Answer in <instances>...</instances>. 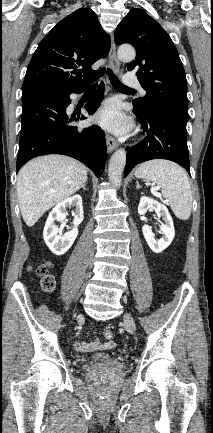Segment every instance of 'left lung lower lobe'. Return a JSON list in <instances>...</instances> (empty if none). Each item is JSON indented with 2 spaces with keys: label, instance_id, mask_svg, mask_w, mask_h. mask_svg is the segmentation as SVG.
I'll return each mask as SVG.
<instances>
[{
  "label": "left lung lower lobe",
  "instance_id": "0a47b994",
  "mask_svg": "<svg viewBox=\"0 0 213 433\" xmlns=\"http://www.w3.org/2000/svg\"><path fill=\"white\" fill-rule=\"evenodd\" d=\"M134 112L147 136L133 147H127L125 177L132 168L152 159H167L183 166L190 174L186 139L188 118L171 110Z\"/></svg>",
  "mask_w": 213,
  "mask_h": 433
}]
</instances>
